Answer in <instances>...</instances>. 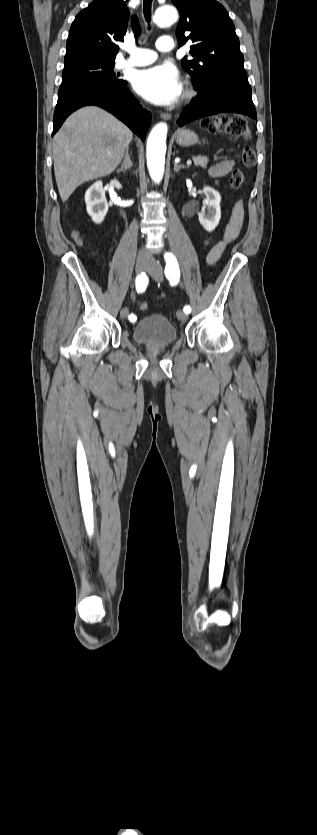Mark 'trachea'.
Instances as JSON below:
<instances>
[{
  "label": "trachea",
  "mask_w": 317,
  "mask_h": 835,
  "mask_svg": "<svg viewBox=\"0 0 317 835\" xmlns=\"http://www.w3.org/2000/svg\"><path fill=\"white\" fill-rule=\"evenodd\" d=\"M143 3H144V15H145L146 21L149 23L150 20H151L152 0H143Z\"/></svg>",
  "instance_id": "1"
}]
</instances>
